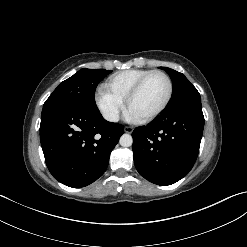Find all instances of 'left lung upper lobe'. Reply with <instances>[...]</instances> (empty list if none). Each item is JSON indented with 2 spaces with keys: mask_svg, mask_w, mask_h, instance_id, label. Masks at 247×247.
I'll list each match as a JSON object with an SVG mask.
<instances>
[{
  "mask_svg": "<svg viewBox=\"0 0 247 247\" xmlns=\"http://www.w3.org/2000/svg\"><path fill=\"white\" fill-rule=\"evenodd\" d=\"M160 68L170 75L173 82V96L167 109L187 102H201L199 92L182 73L167 67Z\"/></svg>",
  "mask_w": 247,
  "mask_h": 247,
  "instance_id": "left-lung-upper-lobe-1",
  "label": "left lung upper lobe"
}]
</instances>
